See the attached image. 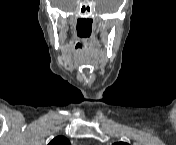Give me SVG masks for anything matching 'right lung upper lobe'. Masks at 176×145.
<instances>
[{"instance_id": "1", "label": "right lung upper lobe", "mask_w": 176, "mask_h": 145, "mask_svg": "<svg viewBox=\"0 0 176 145\" xmlns=\"http://www.w3.org/2000/svg\"><path fill=\"white\" fill-rule=\"evenodd\" d=\"M48 145H70V142L64 136H57Z\"/></svg>"}]
</instances>
